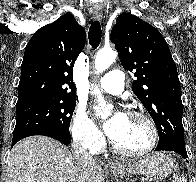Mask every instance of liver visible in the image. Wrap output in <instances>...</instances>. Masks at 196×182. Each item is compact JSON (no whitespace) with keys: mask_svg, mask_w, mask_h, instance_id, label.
Segmentation results:
<instances>
[{"mask_svg":"<svg viewBox=\"0 0 196 182\" xmlns=\"http://www.w3.org/2000/svg\"><path fill=\"white\" fill-rule=\"evenodd\" d=\"M7 182H103L102 164L77 159L50 137L31 136L11 150Z\"/></svg>","mask_w":196,"mask_h":182,"instance_id":"1","label":"liver"}]
</instances>
